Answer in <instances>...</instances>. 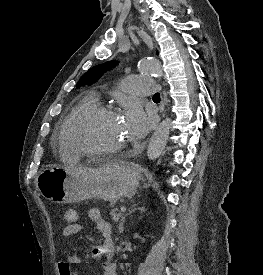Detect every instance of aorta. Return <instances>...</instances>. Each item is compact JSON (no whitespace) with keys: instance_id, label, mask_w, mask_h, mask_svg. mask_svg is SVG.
I'll return each mask as SVG.
<instances>
[{"instance_id":"762f6f07","label":"aorta","mask_w":263,"mask_h":275,"mask_svg":"<svg viewBox=\"0 0 263 275\" xmlns=\"http://www.w3.org/2000/svg\"><path fill=\"white\" fill-rule=\"evenodd\" d=\"M139 70L142 73L151 74L154 76H162L163 68L161 63L156 59H144L139 64ZM171 123L168 119L163 120L156 128L152 137L150 138L147 156L149 160L157 159L166 147Z\"/></svg>"}]
</instances>
